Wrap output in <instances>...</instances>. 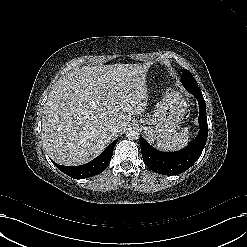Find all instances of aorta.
<instances>
[{
  "label": "aorta",
  "mask_w": 247,
  "mask_h": 247,
  "mask_svg": "<svg viewBox=\"0 0 247 247\" xmlns=\"http://www.w3.org/2000/svg\"><path fill=\"white\" fill-rule=\"evenodd\" d=\"M139 130L137 128H129L126 132V137L130 140H137L139 138Z\"/></svg>",
  "instance_id": "aorta-1"
}]
</instances>
